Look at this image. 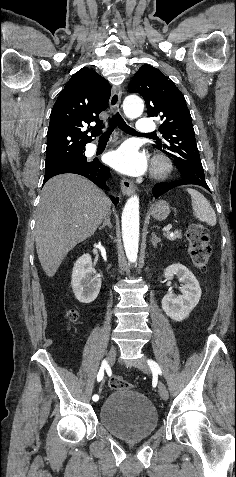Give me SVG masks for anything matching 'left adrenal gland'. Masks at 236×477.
<instances>
[{
  "instance_id": "1",
  "label": "left adrenal gland",
  "mask_w": 236,
  "mask_h": 477,
  "mask_svg": "<svg viewBox=\"0 0 236 477\" xmlns=\"http://www.w3.org/2000/svg\"><path fill=\"white\" fill-rule=\"evenodd\" d=\"M151 242H152V245H153L154 248H156L157 244L159 242H161V240L156 236V234L154 232L152 233Z\"/></svg>"
}]
</instances>
